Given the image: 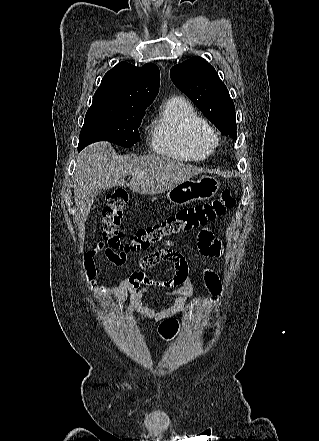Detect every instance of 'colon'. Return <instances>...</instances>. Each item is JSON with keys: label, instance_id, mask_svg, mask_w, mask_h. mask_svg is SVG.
Listing matches in <instances>:
<instances>
[{"label": "colon", "instance_id": "5ec220e1", "mask_svg": "<svg viewBox=\"0 0 319 441\" xmlns=\"http://www.w3.org/2000/svg\"><path fill=\"white\" fill-rule=\"evenodd\" d=\"M127 202L126 191L117 189L108 196L102 213L103 245L106 247L109 259L117 264L124 261L127 253L146 250L166 238L203 227L223 216L235 205L233 192L224 189L211 201L180 209L165 220L139 228L126 237L120 230V226L123 219V209ZM205 233V229H202L199 234ZM86 269L90 278H93V265L87 264ZM178 328V320L168 318L160 324L158 332L163 339L169 340L176 335Z\"/></svg>", "mask_w": 319, "mask_h": 441}]
</instances>
